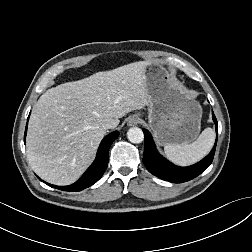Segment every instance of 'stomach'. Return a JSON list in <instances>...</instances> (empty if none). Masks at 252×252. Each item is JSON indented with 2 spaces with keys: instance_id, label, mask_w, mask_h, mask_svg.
I'll return each instance as SVG.
<instances>
[{
  "instance_id": "0dacf381",
  "label": "stomach",
  "mask_w": 252,
  "mask_h": 252,
  "mask_svg": "<svg viewBox=\"0 0 252 252\" xmlns=\"http://www.w3.org/2000/svg\"><path fill=\"white\" fill-rule=\"evenodd\" d=\"M145 77L149 95L148 122L157 142L180 145L194 141L200 132V104L175 85L162 65L148 64Z\"/></svg>"
}]
</instances>
